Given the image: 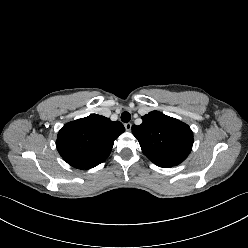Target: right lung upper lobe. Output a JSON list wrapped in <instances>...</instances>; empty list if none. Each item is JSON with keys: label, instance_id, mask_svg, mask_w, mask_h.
Returning <instances> with one entry per match:
<instances>
[{"label": "right lung upper lobe", "instance_id": "cb5924a9", "mask_svg": "<svg viewBox=\"0 0 248 248\" xmlns=\"http://www.w3.org/2000/svg\"><path fill=\"white\" fill-rule=\"evenodd\" d=\"M124 131L121 122L91 114L65 124L58 133L56 146L69 165L90 169L106 160L114 140Z\"/></svg>", "mask_w": 248, "mask_h": 248}]
</instances>
